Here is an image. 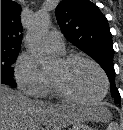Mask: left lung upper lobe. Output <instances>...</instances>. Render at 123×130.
I'll list each match as a JSON object with an SVG mask.
<instances>
[{
    "label": "left lung upper lobe",
    "mask_w": 123,
    "mask_h": 130,
    "mask_svg": "<svg viewBox=\"0 0 123 130\" xmlns=\"http://www.w3.org/2000/svg\"><path fill=\"white\" fill-rule=\"evenodd\" d=\"M56 18L66 38L104 69L111 84V95L115 103H120L115 86L112 35L100 9L89 0H63L56 7Z\"/></svg>",
    "instance_id": "left-lung-upper-lobe-1"
}]
</instances>
